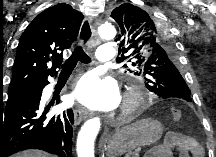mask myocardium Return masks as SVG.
<instances>
[{"label":"myocardium","mask_w":216,"mask_h":157,"mask_svg":"<svg viewBox=\"0 0 216 157\" xmlns=\"http://www.w3.org/2000/svg\"><path fill=\"white\" fill-rule=\"evenodd\" d=\"M142 105V98L137 92H129L123 104L122 115L130 117L134 115Z\"/></svg>","instance_id":"myocardium-1"}]
</instances>
